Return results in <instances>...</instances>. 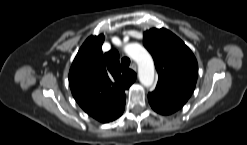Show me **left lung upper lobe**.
<instances>
[{"label":"left lung upper lobe","instance_id":"left-lung-upper-lobe-1","mask_svg":"<svg viewBox=\"0 0 247 145\" xmlns=\"http://www.w3.org/2000/svg\"><path fill=\"white\" fill-rule=\"evenodd\" d=\"M143 44L151 53L159 79L156 88L189 99L194 91L198 64L191 50L167 29H150Z\"/></svg>","mask_w":247,"mask_h":145}]
</instances>
